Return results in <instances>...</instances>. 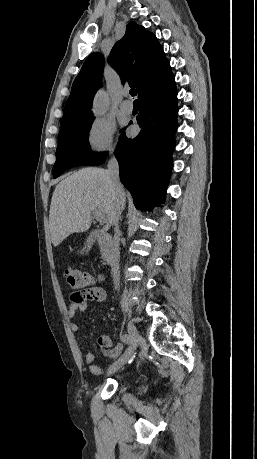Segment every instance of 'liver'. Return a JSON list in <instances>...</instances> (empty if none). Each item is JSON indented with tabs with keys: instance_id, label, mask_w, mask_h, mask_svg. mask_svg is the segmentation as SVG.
Returning <instances> with one entry per match:
<instances>
[{
	"instance_id": "1",
	"label": "liver",
	"mask_w": 257,
	"mask_h": 459,
	"mask_svg": "<svg viewBox=\"0 0 257 459\" xmlns=\"http://www.w3.org/2000/svg\"><path fill=\"white\" fill-rule=\"evenodd\" d=\"M114 206L115 193L107 170L83 168L66 177L56 186L51 199L49 227L53 245H60L72 233L87 231L94 210L104 217L102 233L108 231L113 224Z\"/></svg>"
}]
</instances>
